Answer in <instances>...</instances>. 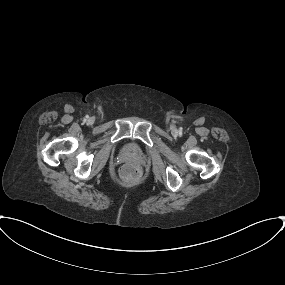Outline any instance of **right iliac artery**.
<instances>
[{
    "label": "right iliac artery",
    "instance_id": "82829eb1",
    "mask_svg": "<svg viewBox=\"0 0 285 285\" xmlns=\"http://www.w3.org/2000/svg\"><path fill=\"white\" fill-rule=\"evenodd\" d=\"M88 116L85 117V120H87Z\"/></svg>",
    "mask_w": 285,
    "mask_h": 285
}]
</instances>
